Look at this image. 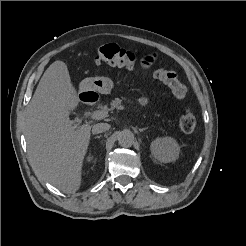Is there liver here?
<instances>
[{
	"instance_id": "obj_1",
	"label": "liver",
	"mask_w": 246,
	"mask_h": 246,
	"mask_svg": "<svg viewBox=\"0 0 246 246\" xmlns=\"http://www.w3.org/2000/svg\"><path fill=\"white\" fill-rule=\"evenodd\" d=\"M79 102L68 67L58 60L44 72L26 115L25 138L33 169L66 193L80 188L90 141L91 126L76 128L69 119Z\"/></svg>"
}]
</instances>
